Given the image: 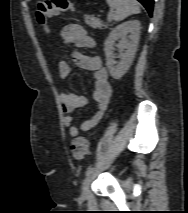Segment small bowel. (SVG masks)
Masks as SVG:
<instances>
[{
    "label": "small bowel",
    "instance_id": "obj_1",
    "mask_svg": "<svg viewBox=\"0 0 188 213\" xmlns=\"http://www.w3.org/2000/svg\"><path fill=\"white\" fill-rule=\"evenodd\" d=\"M62 47L71 45L77 48H93L94 39L79 24H68L64 26L60 33ZM75 64L85 70L94 73L93 98L96 102V112L90 118L82 122L80 128L73 123V112L85 106L88 102L87 97L82 94L64 92L60 95L62 110L64 112L63 123L68 133L72 137L78 136L79 132H88L94 128L103 118L112 96V86L109 82L107 69L103 66L101 58L97 55H86L79 51L71 53ZM58 73L61 78H67L71 73V66L68 62L61 60L58 63Z\"/></svg>",
    "mask_w": 188,
    "mask_h": 213
}]
</instances>
